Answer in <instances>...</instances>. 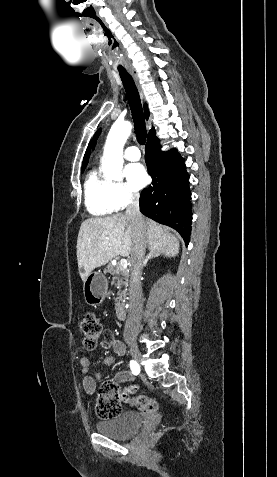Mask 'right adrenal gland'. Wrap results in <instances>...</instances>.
<instances>
[{
    "instance_id": "obj_1",
    "label": "right adrenal gland",
    "mask_w": 277,
    "mask_h": 477,
    "mask_svg": "<svg viewBox=\"0 0 277 477\" xmlns=\"http://www.w3.org/2000/svg\"><path fill=\"white\" fill-rule=\"evenodd\" d=\"M157 256H158V254L154 253L153 251H150V253L148 254V256L145 259L144 266L147 265V263L150 259L155 258Z\"/></svg>"
}]
</instances>
